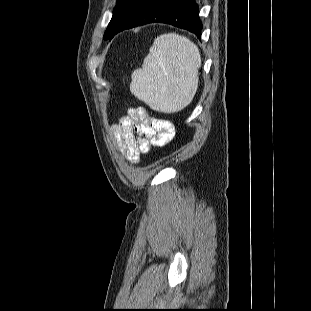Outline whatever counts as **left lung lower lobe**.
<instances>
[{"mask_svg": "<svg viewBox=\"0 0 311 311\" xmlns=\"http://www.w3.org/2000/svg\"><path fill=\"white\" fill-rule=\"evenodd\" d=\"M166 23L200 38L202 23L193 0H127L118 12L111 40L117 33L149 23Z\"/></svg>", "mask_w": 311, "mask_h": 311, "instance_id": "obj_1", "label": "left lung lower lobe"}]
</instances>
